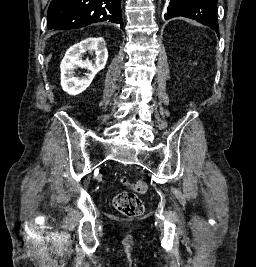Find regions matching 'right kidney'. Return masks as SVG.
I'll use <instances>...</instances> for the list:
<instances>
[{"label":"right kidney","instance_id":"1","mask_svg":"<svg viewBox=\"0 0 256 267\" xmlns=\"http://www.w3.org/2000/svg\"><path fill=\"white\" fill-rule=\"evenodd\" d=\"M93 54L94 60H83L84 54ZM108 60V52L106 50V42L104 38H86L80 44H74L67 50L61 64V86L64 92L70 96L82 94L88 86H90L97 72L103 70ZM78 68H87L88 74L84 76H74Z\"/></svg>","mask_w":256,"mask_h":267}]
</instances>
